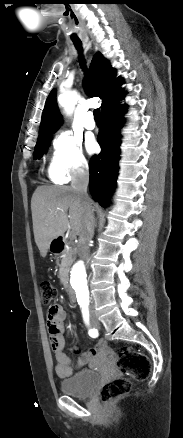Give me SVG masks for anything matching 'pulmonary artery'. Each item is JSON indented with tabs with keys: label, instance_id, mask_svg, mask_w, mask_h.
I'll return each instance as SVG.
<instances>
[{
	"label": "pulmonary artery",
	"instance_id": "obj_1",
	"mask_svg": "<svg viewBox=\"0 0 183 438\" xmlns=\"http://www.w3.org/2000/svg\"><path fill=\"white\" fill-rule=\"evenodd\" d=\"M84 126L88 130H93L96 127L93 114L91 112L86 113L84 118Z\"/></svg>",
	"mask_w": 183,
	"mask_h": 438
}]
</instances>
